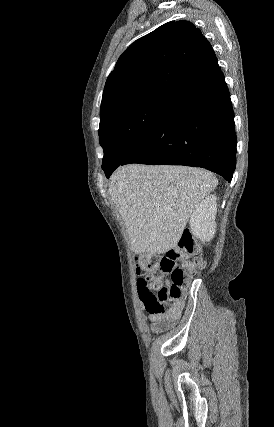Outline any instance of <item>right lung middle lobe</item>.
I'll use <instances>...</instances> for the list:
<instances>
[{"mask_svg":"<svg viewBox=\"0 0 274 427\" xmlns=\"http://www.w3.org/2000/svg\"><path fill=\"white\" fill-rule=\"evenodd\" d=\"M174 96L151 94L117 103L100 114L102 168L124 161L160 121Z\"/></svg>","mask_w":274,"mask_h":427,"instance_id":"dd1d6c3e","label":"right lung middle lobe"}]
</instances>
